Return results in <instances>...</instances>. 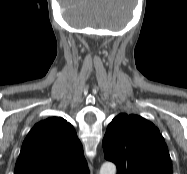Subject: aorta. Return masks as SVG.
Returning a JSON list of instances; mask_svg holds the SVG:
<instances>
[{"label": "aorta", "mask_w": 187, "mask_h": 174, "mask_svg": "<svg viewBox=\"0 0 187 174\" xmlns=\"http://www.w3.org/2000/svg\"><path fill=\"white\" fill-rule=\"evenodd\" d=\"M100 174H116V166L114 163L106 162L101 166Z\"/></svg>", "instance_id": "obj_1"}]
</instances>
